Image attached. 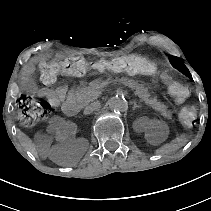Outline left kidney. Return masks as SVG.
Instances as JSON below:
<instances>
[{
	"label": "left kidney",
	"instance_id": "obj_1",
	"mask_svg": "<svg viewBox=\"0 0 211 211\" xmlns=\"http://www.w3.org/2000/svg\"><path fill=\"white\" fill-rule=\"evenodd\" d=\"M146 126H147V127H148V126H151V120H149V122H147ZM147 127H146V128H147ZM149 143H151V142H149Z\"/></svg>",
	"mask_w": 211,
	"mask_h": 211
}]
</instances>
